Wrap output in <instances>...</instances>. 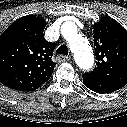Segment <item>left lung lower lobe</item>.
I'll list each match as a JSON object with an SVG mask.
<instances>
[{"instance_id":"left-lung-lower-lobe-1","label":"left lung lower lobe","mask_w":127,"mask_h":127,"mask_svg":"<svg viewBox=\"0 0 127 127\" xmlns=\"http://www.w3.org/2000/svg\"><path fill=\"white\" fill-rule=\"evenodd\" d=\"M83 84L88 87L90 90L104 94V93H111L119 89L114 84H111L109 82L101 81V80H95V79H84L83 78Z\"/></svg>"}]
</instances>
